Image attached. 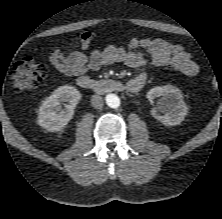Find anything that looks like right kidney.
Instances as JSON below:
<instances>
[{
  "instance_id": "right-kidney-1",
  "label": "right kidney",
  "mask_w": 222,
  "mask_h": 219,
  "mask_svg": "<svg viewBox=\"0 0 222 219\" xmlns=\"http://www.w3.org/2000/svg\"><path fill=\"white\" fill-rule=\"evenodd\" d=\"M80 100L81 94L76 88L68 85L57 88L39 107L38 124L50 132L63 129L73 118ZM61 102H68L64 110Z\"/></svg>"
}]
</instances>
